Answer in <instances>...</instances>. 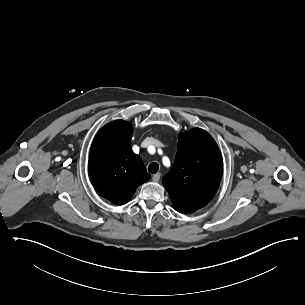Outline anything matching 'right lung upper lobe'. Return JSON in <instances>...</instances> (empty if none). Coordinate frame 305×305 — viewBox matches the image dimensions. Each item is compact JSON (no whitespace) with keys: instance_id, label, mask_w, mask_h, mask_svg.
<instances>
[{"instance_id":"cb5924a9","label":"right lung upper lobe","mask_w":305,"mask_h":305,"mask_svg":"<svg viewBox=\"0 0 305 305\" xmlns=\"http://www.w3.org/2000/svg\"><path fill=\"white\" fill-rule=\"evenodd\" d=\"M133 127L117 120L105 125L94 138L89 174L97 191L117 205L127 203L136 188L150 179L142 159L131 150Z\"/></svg>"}]
</instances>
